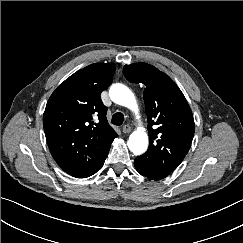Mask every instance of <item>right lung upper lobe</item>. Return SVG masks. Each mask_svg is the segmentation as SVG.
I'll return each mask as SVG.
<instances>
[{
	"label": "right lung upper lobe",
	"mask_w": 243,
	"mask_h": 243,
	"mask_svg": "<svg viewBox=\"0 0 243 243\" xmlns=\"http://www.w3.org/2000/svg\"><path fill=\"white\" fill-rule=\"evenodd\" d=\"M114 63L91 64L67 78L50 96L43 127L50 152L68 174L85 178L108 155L117 133L100 94L112 82ZM98 117V121L93 119Z\"/></svg>",
	"instance_id": "right-lung-upper-lobe-1"
}]
</instances>
